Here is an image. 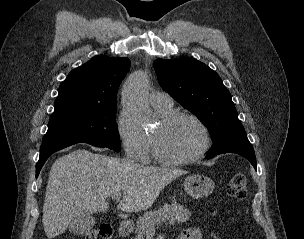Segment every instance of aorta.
<instances>
[{"label": "aorta", "instance_id": "aorta-1", "mask_svg": "<svg viewBox=\"0 0 304 239\" xmlns=\"http://www.w3.org/2000/svg\"><path fill=\"white\" fill-rule=\"evenodd\" d=\"M149 81L142 72L133 74L122 89V103L131 109L140 123L149 121L151 112L148 104Z\"/></svg>", "mask_w": 304, "mask_h": 239}]
</instances>
